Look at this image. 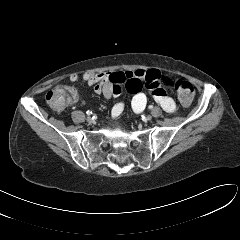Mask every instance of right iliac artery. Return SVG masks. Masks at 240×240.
<instances>
[{"label":"right iliac artery","mask_w":240,"mask_h":240,"mask_svg":"<svg viewBox=\"0 0 240 240\" xmlns=\"http://www.w3.org/2000/svg\"><path fill=\"white\" fill-rule=\"evenodd\" d=\"M86 114H87V115H91L92 112L88 110V111L86 112Z\"/></svg>","instance_id":"82829eb1"}]
</instances>
